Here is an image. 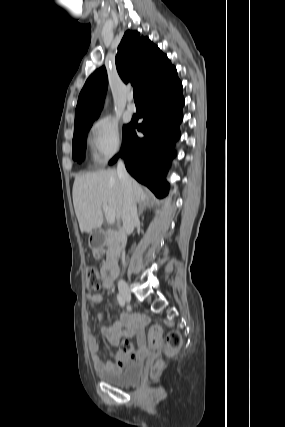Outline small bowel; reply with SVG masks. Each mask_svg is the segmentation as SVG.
<instances>
[{
    "instance_id": "c3829d8e",
    "label": "small bowel",
    "mask_w": 285,
    "mask_h": 427,
    "mask_svg": "<svg viewBox=\"0 0 285 427\" xmlns=\"http://www.w3.org/2000/svg\"><path fill=\"white\" fill-rule=\"evenodd\" d=\"M104 267V266H103ZM103 267L101 269V281L104 288L111 287V281L105 283L103 280ZM87 300L89 303L97 305L102 302V295L98 293H88ZM97 319H101V314L97 315ZM148 319L145 315L139 313H126L122 312L117 321L112 322L109 326L101 327L99 333L104 337L112 346L118 347L122 339H127L132 336L137 337L138 350L133 358L126 356L124 353L117 355L115 362H103L99 355V346L93 335H89L88 343L91 352L92 361L97 371L118 370L131 361L141 360L147 353L146 339L144 335V327Z\"/></svg>"
}]
</instances>
